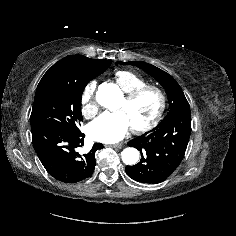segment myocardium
<instances>
[{"label":"myocardium","instance_id":"f54148a6","mask_svg":"<svg viewBox=\"0 0 236 236\" xmlns=\"http://www.w3.org/2000/svg\"><path fill=\"white\" fill-rule=\"evenodd\" d=\"M147 92H154L158 96L159 106L155 116L149 122L132 127L133 131L137 133L147 132L155 128L160 123L166 109L167 98L165 92L160 87L152 84L141 86L126 93L124 100L126 103H131Z\"/></svg>","mask_w":236,"mask_h":236}]
</instances>
